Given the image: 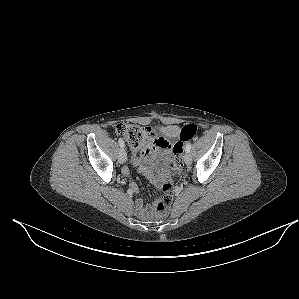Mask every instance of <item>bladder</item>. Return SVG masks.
Here are the masks:
<instances>
[{"instance_id": "31cf9c89", "label": "bladder", "mask_w": 299, "mask_h": 299, "mask_svg": "<svg viewBox=\"0 0 299 299\" xmlns=\"http://www.w3.org/2000/svg\"><path fill=\"white\" fill-rule=\"evenodd\" d=\"M157 156H158V157H162L161 153H158Z\"/></svg>"}]
</instances>
